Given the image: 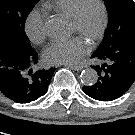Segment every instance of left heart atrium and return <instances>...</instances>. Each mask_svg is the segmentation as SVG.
<instances>
[{
	"instance_id": "obj_1",
	"label": "left heart atrium",
	"mask_w": 135,
	"mask_h": 135,
	"mask_svg": "<svg viewBox=\"0 0 135 135\" xmlns=\"http://www.w3.org/2000/svg\"><path fill=\"white\" fill-rule=\"evenodd\" d=\"M88 45L79 36L51 43L44 51V60L51 65H74L87 53Z\"/></svg>"
}]
</instances>
